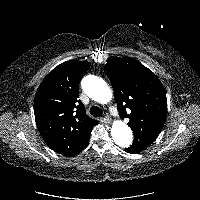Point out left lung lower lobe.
I'll return each instance as SVG.
<instances>
[{"label": "left lung lower lobe", "instance_id": "left-lung-lower-lobe-1", "mask_svg": "<svg viewBox=\"0 0 200 200\" xmlns=\"http://www.w3.org/2000/svg\"><path fill=\"white\" fill-rule=\"evenodd\" d=\"M144 149L145 148H138V147H135V146L131 145L129 148H126L124 150L127 153L136 154V153H139V152L143 151Z\"/></svg>", "mask_w": 200, "mask_h": 200}]
</instances>
